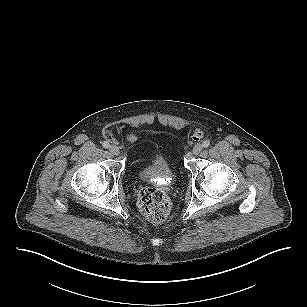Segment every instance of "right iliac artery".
<instances>
[{
	"label": "right iliac artery",
	"mask_w": 307,
	"mask_h": 307,
	"mask_svg": "<svg viewBox=\"0 0 307 307\" xmlns=\"http://www.w3.org/2000/svg\"><path fill=\"white\" fill-rule=\"evenodd\" d=\"M102 146H103L104 148H108V147L110 146V144H109V142L104 141V142L102 143Z\"/></svg>",
	"instance_id": "1"
}]
</instances>
